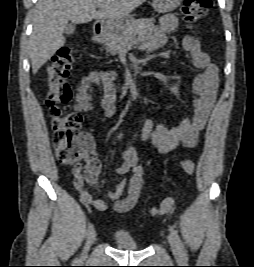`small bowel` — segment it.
Masks as SVG:
<instances>
[{
    "label": "small bowel",
    "mask_w": 254,
    "mask_h": 267,
    "mask_svg": "<svg viewBox=\"0 0 254 267\" xmlns=\"http://www.w3.org/2000/svg\"><path fill=\"white\" fill-rule=\"evenodd\" d=\"M178 27V20L174 15L167 14L160 18L158 27L152 35L142 44L143 48L154 51L168 41L167 34L174 32ZM184 50L189 54L192 64L202 70L193 81L192 90L197 96L194 100V115L184 119L179 125L171 129L152 118L142 119L138 122L141 130V139L152 144L160 153H169L178 146L193 148L198 141L199 132L204 128L211 109L214 105L218 89L219 68L210 61L207 53L202 49L200 40L192 35L185 36L182 41ZM114 72H90L78 84L74 100L76 113L89 112L97 106L104 115L112 116L117 109V100L114 87ZM102 85L103 96L96 100L92 91L94 86ZM101 164L98 159L89 161L86 167L81 165L73 167L74 187L85 204L93 205L100 211L107 210V204L100 199H93L85 190V183L98 188V175ZM131 172L128 183L121 180L113 191L107 192L108 199L114 202V210L118 213L130 211L137 204L143 186V170L141 160L133 146L124 152L123 160L116 169L119 175ZM127 187V196L122 194Z\"/></svg>",
    "instance_id": "1"
}]
</instances>
